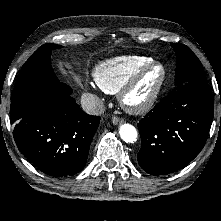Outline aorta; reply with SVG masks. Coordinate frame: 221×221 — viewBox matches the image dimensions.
<instances>
[{
	"mask_svg": "<svg viewBox=\"0 0 221 221\" xmlns=\"http://www.w3.org/2000/svg\"><path fill=\"white\" fill-rule=\"evenodd\" d=\"M119 134L126 143H134L137 138L136 128L128 123L122 124L119 128Z\"/></svg>",
	"mask_w": 221,
	"mask_h": 221,
	"instance_id": "762f6f07",
	"label": "aorta"
}]
</instances>
